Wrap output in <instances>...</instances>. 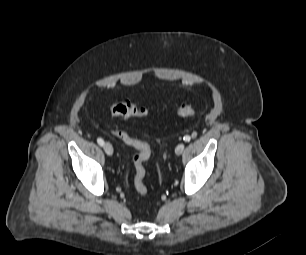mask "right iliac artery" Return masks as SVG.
I'll return each mask as SVG.
<instances>
[{"mask_svg":"<svg viewBox=\"0 0 306 255\" xmlns=\"http://www.w3.org/2000/svg\"><path fill=\"white\" fill-rule=\"evenodd\" d=\"M97 142L100 146H103L104 145V140L102 138H98L97 139Z\"/></svg>","mask_w":306,"mask_h":255,"instance_id":"82829eb1","label":"right iliac artery"}]
</instances>
